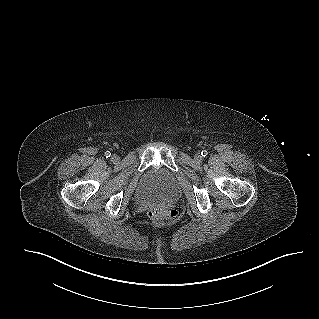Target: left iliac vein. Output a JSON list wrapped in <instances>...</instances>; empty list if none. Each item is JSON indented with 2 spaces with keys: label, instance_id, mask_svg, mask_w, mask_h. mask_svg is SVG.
I'll list each match as a JSON object with an SVG mask.
<instances>
[{
  "label": "left iliac vein",
  "instance_id": "1",
  "mask_svg": "<svg viewBox=\"0 0 319 319\" xmlns=\"http://www.w3.org/2000/svg\"><path fill=\"white\" fill-rule=\"evenodd\" d=\"M194 158L197 162H200L202 160V156L200 154H196Z\"/></svg>",
  "mask_w": 319,
  "mask_h": 319
}]
</instances>
